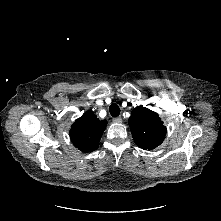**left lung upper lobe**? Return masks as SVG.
<instances>
[{
    "mask_svg": "<svg viewBox=\"0 0 221 221\" xmlns=\"http://www.w3.org/2000/svg\"><path fill=\"white\" fill-rule=\"evenodd\" d=\"M129 126L135 143L148 150L159 146L167 131L158 114L143 106L132 110Z\"/></svg>",
    "mask_w": 221,
    "mask_h": 221,
    "instance_id": "obj_1",
    "label": "left lung upper lobe"
}]
</instances>
